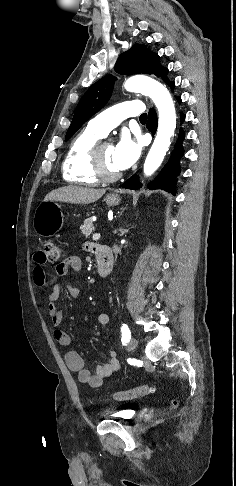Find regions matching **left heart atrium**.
I'll use <instances>...</instances> for the list:
<instances>
[{"label": "left heart atrium", "instance_id": "left-heart-atrium-1", "mask_svg": "<svg viewBox=\"0 0 236 486\" xmlns=\"http://www.w3.org/2000/svg\"><path fill=\"white\" fill-rule=\"evenodd\" d=\"M141 153V143L133 140L128 134H123L114 147L113 158L118 170L132 166Z\"/></svg>", "mask_w": 236, "mask_h": 486}]
</instances>
